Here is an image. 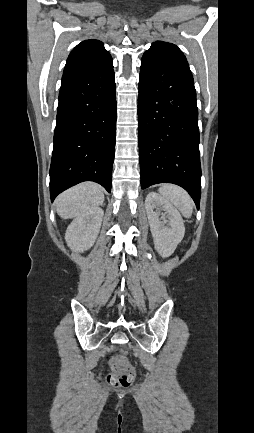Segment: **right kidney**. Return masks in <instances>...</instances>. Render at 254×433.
I'll list each match as a JSON object with an SVG mask.
<instances>
[{
    "mask_svg": "<svg viewBox=\"0 0 254 433\" xmlns=\"http://www.w3.org/2000/svg\"><path fill=\"white\" fill-rule=\"evenodd\" d=\"M104 211L95 208L77 216L68 226L65 240L74 252H84L91 248L98 236Z\"/></svg>",
    "mask_w": 254,
    "mask_h": 433,
    "instance_id": "1",
    "label": "right kidney"
}]
</instances>
